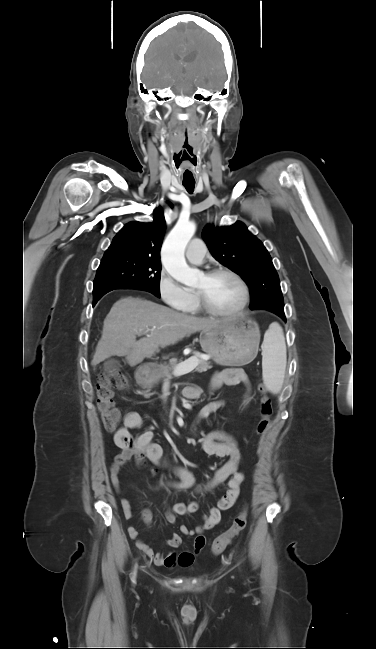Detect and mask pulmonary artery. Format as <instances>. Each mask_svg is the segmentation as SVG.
I'll list each match as a JSON object with an SVG mask.
<instances>
[{
	"mask_svg": "<svg viewBox=\"0 0 376 649\" xmlns=\"http://www.w3.org/2000/svg\"><path fill=\"white\" fill-rule=\"evenodd\" d=\"M206 252V247L204 242L201 239H193L188 244L186 249L187 259L196 264L202 263Z\"/></svg>",
	"mask_w": 376,
	"mask_h": 649,
	"instance_id": "e3ab8cb5",
	"label": "pulmonary artery"
}]
</instances>
